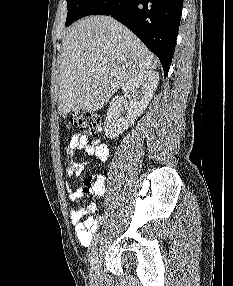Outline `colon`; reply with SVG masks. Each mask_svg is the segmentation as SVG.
<instances>
[{
    "mask_svg": "<svg viewBox=\"0 0 233 286\" xmlns=\"http://www.w3.org/2000/svg\"><path fill=\"white\" fill-rule=\"evenodd\" d=\"M69 124L78 127L93 145L98 144L102 130V120L94 113L75 112L69 119ZM104 188V179L100 176H88L83 182L86 193H96Z\"/></svg>",
    "mask_w": 233,
    "mask_h": 286,
    "instance_id": "1",
    "label": "colon"
}]
</instances>
